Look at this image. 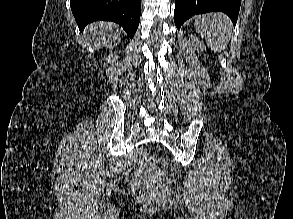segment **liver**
Here are the masks:
<instances>
[{
  "label": "liver",
  "mask_w": 293,
  "mask_h": 219,
  "mask_svg": "<svg viewBox=\"0 0 293 219\" xmlns=\"http://www.w3.org/2000/svg\"><path fill=\"white\" fill-rule=\"evenodd\" d=\"M87 32L95 37V47L107 45L112 41H120V32L118 27L112 23L96 22L86 28Z\"/></svg>",
  "instance_id": "liver-1"
}]
</instances>
